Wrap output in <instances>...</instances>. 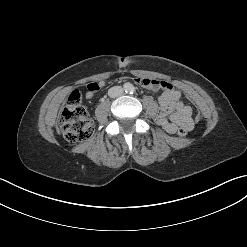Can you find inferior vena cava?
Listing matches in <instances>:
<instances>
[{"instance_id":"inferior-vena-cava-1","label":"inferior vena cava","mask_w":247,"mask_h":247,"mask_svg":"<svg viewBox=\"0 0 247 247\" xmlns=\"http://www.w3.org/2000/svg\"><path fill=\"white\" fill-rule=\"evenodd\" d=\"M123 94V88L121 86H114L108 90V95L111 98L119 97Z\"/></svg>"}]
</instances>
